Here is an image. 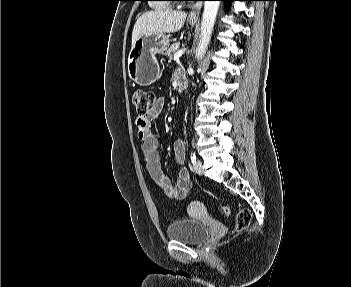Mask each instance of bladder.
Returning a JSON list of instances; mask_svg holds the SVG:
<instances>
[{
  "mask_svg": "<svg viewBox=\"0 0 351 287\" xmlns=\"http://www.w3.org/2000/svg\"><path fill=\"white\" fill-rule=\"evenodd\" d=\"M209 233V227L205 221L192 218H179L167 227V237L188 244L202 242Z\"/></svg>",
  "mask_w": 351,
  "mask_h": 287,
  "instance_id": "1",
  "label": "bladder"
}]
</instances>
